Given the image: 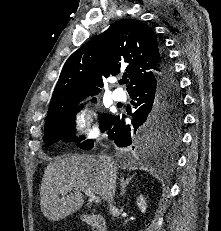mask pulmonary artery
I'll use <instances>...</instances> for the list:
<instances>
[{"label":"pulmonary artery","mask_w":221,"mask_h":231,"mask_svg":"<svg viewBox=\"0 0 221 231\" xmlns=\"http://www.w3.org/2000/svg\"><path fill=\"white\" fill-rule=\"evenodd\" d=\"M112 97H113V99L115 101H119V102H122V101L126 100L125 92L122 89H119V88L113 90Z\"/></svg>","instance_id":"obj_1"}]
</instances>
